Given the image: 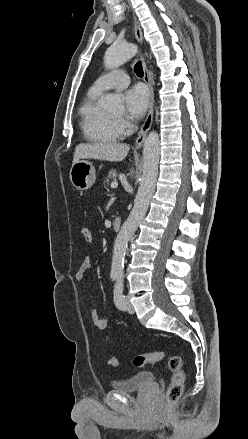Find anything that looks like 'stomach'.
<instances>
[{
    "instance_id": "obj_1",
    "label": "stomach",
    "mask_w": 248,
    "mask_h": 439,
    "mask_svg": "<svg viewBox=\"0 0 248 439\" xmlns=\"http://www.w3.org/2000/svg\"><path fill=\"white\" fill-rule=\"evenodd\" d=\"M95 168L87 160H79L70 169V181L78 190H87L95 182Z\"/></svg>"
}]
</instances>
